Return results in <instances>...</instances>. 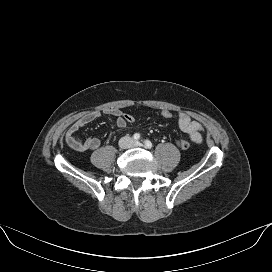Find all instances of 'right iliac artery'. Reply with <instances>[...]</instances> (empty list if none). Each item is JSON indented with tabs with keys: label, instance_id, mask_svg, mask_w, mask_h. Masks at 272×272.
<instances>
[{
	"label": "right iliac artery",
	"instance_id": "1",
	"mask_svg": "<svg viewBox=\"0 0 272 272\" xmlns=\"http://www.w3.org/2000/svg\"><path fill=\"white\" fill-rule=\"evenodd\" d=\"M133 138H134L135 140H138V139L140 138V135H139L138 133H135V134L133 135Z\"/></svg>",
	"mask_w": 272,
	"mask_h": 272
}]
</instances>
